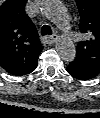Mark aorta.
I'll return each instance as SVG.
<instances>
[{"instance_id": "obj_1", "label": "aorta", "mask_w": 100, "mask_h": 118, "mask_svg": "<svg viewBox=\"0 0 100 118\" xmlns=\"http://www.w3.org/2000/svg\"><path fill=\"white\" fill-rule=\"evenodd\" d=\"M42 13L50 19L58 29L67 30L69 28V17L59 0H44ZM56 51L64 61H73L76 56V49L73 41L67 36H61L56 43Z\"/></svg>"}]
</instances>
